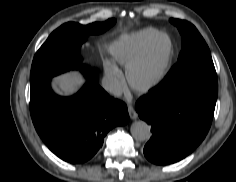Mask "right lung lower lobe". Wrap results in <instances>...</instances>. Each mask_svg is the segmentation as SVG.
<instances>
[{
    "label": "right lung lower lobe",
    "mask_w": 236,
    "mask_h": 182,
    "mask_svg": "<svg viewBox=\"0 0 236 182\" xmlns=\"http://www.w3.org/2000/svg\"><path fill=\"white\" fill-rule=\"evenodd\" d=\"M30 113L43 142L69 163L92 158L108 131L129 120L125 103L110 97L98 83H86L72 97H59L51 90L50 78L31 84Z\"/></svg>",
    "instance_id": "right-lung-lower-lobe-1"
}]
</instances>
